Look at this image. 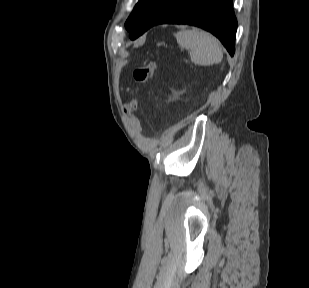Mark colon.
Instances as JSON below:
<instances>
[{"label":"colon","instance_id":"5ec220e1","mask_svg":"<svg viewBox=\"0 0 309 288\" xmlns=\"http://www.w3.org/2000/svg\"><path fill=\"white\" fill-rule=\"evenodd\" d=\"M155 70L156 63L154 61H149L147 63L141 64L134 70V79L140 85H146L152 79ZM138 106L139 100L137 98H134L128 103L125 109L128 120L136 129L139 128V121L135 116L134 112L138 109Z\"/></svg>","mask_w":309,"mask_h":288}]
</instances>
